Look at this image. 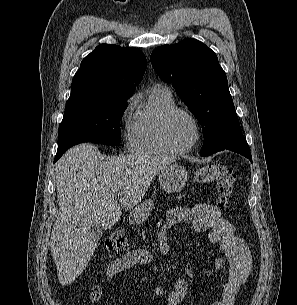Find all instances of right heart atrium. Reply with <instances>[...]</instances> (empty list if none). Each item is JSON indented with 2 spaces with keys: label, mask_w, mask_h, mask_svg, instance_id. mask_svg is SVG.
<instances>
[{
  "label": "right heart atrium",
  "mask_w": 297,
  "mask_h": 305,
  "mask_svg": "<svg viewBox=\"0 0 297 305\" xmlns=\"http://www.w3.org/2000/svg\"><path fill=\"white\" fill-rule=\"evenodd\" d=\"M134 103V98L131 97L130 99H128L125 108L122 111L121 117H120V121L121 123L125 126V138L129 139V135L131 132V126H132V122L130 121V113H131V109Z\"/></svg>",
  "instance_id": "obj_1"
}]
</instances>
